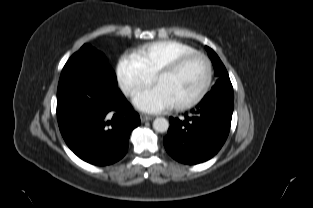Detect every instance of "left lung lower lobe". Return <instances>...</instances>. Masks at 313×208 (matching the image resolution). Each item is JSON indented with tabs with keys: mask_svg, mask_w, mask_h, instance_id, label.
Segmentation results:
<instances>
[{
	"mask_svg": "<svg viewBox=\"0 0 313 208\" xmlns=\"http://www.w3.org/2000/svg\"><path fill=\"white\" fill-rule=\"evenodd\" d=\"M233 107V89H219L207 93L184 118L170 117L163 139L168 154L184 164L211 159L227 139Z\"/></svg>",
	"mask_w": 313,
	"mask_h": 208,
	"instance_id": "1",
	"label": "left lung lower lobe"
}]
</instances>
